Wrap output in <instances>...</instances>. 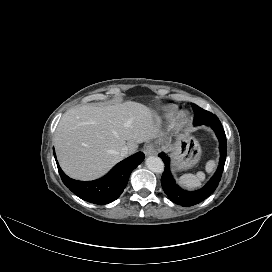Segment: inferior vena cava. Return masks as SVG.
I'll return each mask as SVG.
<instances>
[{"mask_svg": "<svg viewBox=\"0 0 272 272\" xmlns=\"http://www.w3.org/2000/svg\"><path fill=\"white\" fill-rule=\"evenodd\" d=\"M128 153H129V149L127 146L122 147L119 152L121 157H126L128 155Z\"/></svg>", "mask_w": 272, "mask_h": 272, "instance_id": "1", "label": "inferior vena cava"}]
</instances>
